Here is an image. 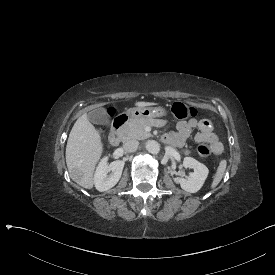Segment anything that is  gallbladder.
<instances>
[{
	"instance_id": "gallbladder-1",
	"label": "gallbladder",
	"mask_w": 275,
	"mask_h": 275,
	"mask_svg": "<svg viewBox=\"0 0 275 275\" xmlns=\"http://www.w3.org/2000/svg\"><path fill=\"white\" fill-rule=\"evenodd\" d=\"M88 119L93 124L102 125L104 127H109L111 125L109 112L103 107L91 110L88 113Z\"/></svg>"
}]
</instances>
